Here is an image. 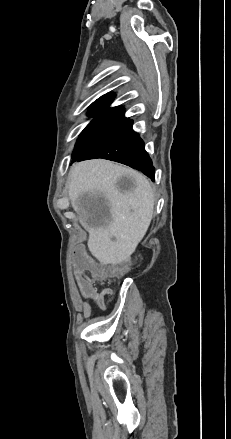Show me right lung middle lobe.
<instances>
[{"instance_id":"dd1d6c3e","label":"right lung middle lobe","mask_w":231,"mask_h":439,"mask_svg":"<svg viewBox=\"0 0 231 439\" xmlns=\"http://www.w3.org/2000/svg\"><path fill=\"white\" fill-rule=\"evenodd\" d=\"M124 122L120 119L94 118L77 140L72 156L73 161L105 139Z\"/></svg>"}]
</instances>
